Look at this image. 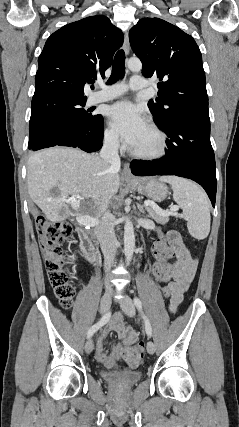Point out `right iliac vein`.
<instances>
[{
  "label": "right iliac vein",
  "instance_id": "right-iliac-vein-1",
  "mask_svg": "<svg viewBox=\"0 0 239 427\" xmlns=\"http://www.w3.org/2000/svg\"><path fill=\"white\" fill-rule=\"evenodd\" d=\"M111 295L112 292H107L103 295L100 302V312L102 314L106 313L111 306ZM94 349V343L92 339H89L85 344L86 353L90 354Z\"/></svg>",
  "mask_w": 239,
  "mask_h": 427
}]
</instances>
